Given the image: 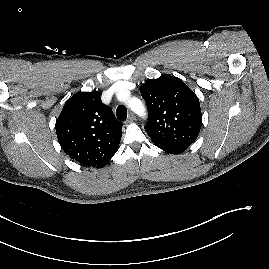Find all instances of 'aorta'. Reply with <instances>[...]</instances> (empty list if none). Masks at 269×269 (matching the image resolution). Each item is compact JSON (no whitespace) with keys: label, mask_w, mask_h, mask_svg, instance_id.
Instances as JSON below:
<instances>
[{"label":"aorta","mask_w":269,"mask_h":269,"mask_svg":"<svg viewBox=\"0 0 269 269\" xmlns=\"http://www.w3.org/2000/svg\"><path fill=\"white\" fill-rule=\"evenodd\" d=\"M128 105L131 108V110L137 114H144V112H145V109H144L142 102L137 98H132L129 101Z\"/></svg>","instance_id":"762f6f07"}]
</instances>
